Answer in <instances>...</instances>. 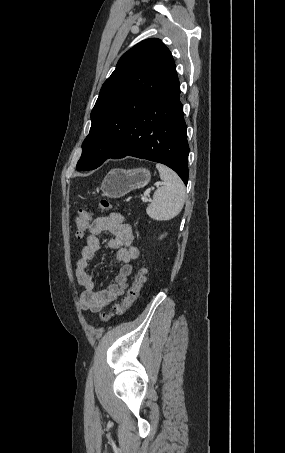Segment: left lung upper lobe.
I'll return each mask as SVG.
<instances>
[{"label":"left lung upper lobe","instance_id":"5c2ea615","mask_svg":"<svg viewBox=\"0 0 285 453\" xmlns=\"http://www.w3.org/2000/svg\"><path fill=\"white\" fill-rule=\"evenodd\" d=\"M173 65L169 49L156 38L146 39L122 55L91 111L92 125L77 170H93L107 160Z\"/></svg>","mask_w":285,"mask_h":453}]
</instances>
